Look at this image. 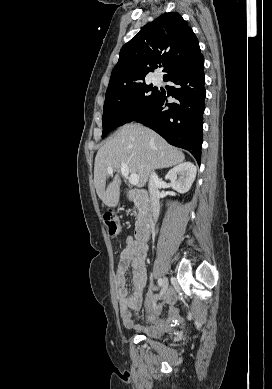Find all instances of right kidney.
Returning <instances> with one entry per match:
<instances>
[{"label": "right kidney", "instance_id": "right-kidney-1", "mask_svg": "<svg viewBox=\"0 0 272 389\" xmlns=\"http://www.w3.org/2000/svg\"><path fill=\"white\" fill-rule=\"evenodd\" d=\"M196 167L191 162H184L171 169L165 179H169L171 186L179 193H186L191 188L195 177Z\"/></svg>", "mask_w": 272, "mask_h": 389}]
</instances>
